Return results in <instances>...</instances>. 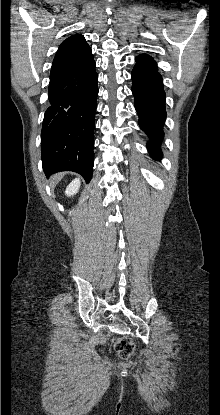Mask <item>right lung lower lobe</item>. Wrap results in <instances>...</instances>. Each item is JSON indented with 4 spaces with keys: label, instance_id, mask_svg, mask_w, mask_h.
<instances>
[{
    "label": "right lung lower lobe",
    "instance_id": "obj_1",
    "mask_svg": "<svg viewBox=\"0 0 220 415\" xmlns=\"http://www.w3.org/2000/svg\"><path fill=\"white\" fill-rule=\"evenodd\" d=\"M98 75L95 61L50 77L41 151L47 176L74 171L88 183L93 172V147Z\"/></svg>",
    "mask_w": 220,
    "mask_h": 415
}]
</instances>
